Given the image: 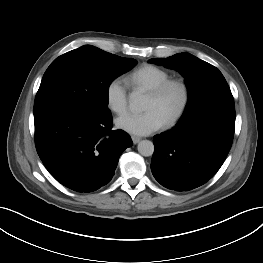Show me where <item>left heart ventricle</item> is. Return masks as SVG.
Returning a JSON list of instances; mask_svg holds the SVG:
<instances>
[{
  "mask_svg": "<svg viewBox=\"0 0 263 263\" xmlns=\"http://www.w3.org/2000/svg\"><path fill=\"white\" fill-rule=\"evenodd\" d=\"M179 102L180 92L177 89H172L161 99H156L148 94L144 109L156 110L165 121L177 108Z\"/></svg>",
  "mask_w": 263,
  "mask_h": 263,
  "instance_id": "1",
  "label": "left heart ventricle"
}]
</instances>
